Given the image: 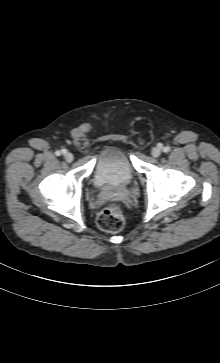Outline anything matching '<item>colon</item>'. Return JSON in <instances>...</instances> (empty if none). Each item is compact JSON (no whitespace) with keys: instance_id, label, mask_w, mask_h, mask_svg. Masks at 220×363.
Listing matches in <instances>:
<instances>
[{"instance_id":"colon-1","label":"colon","mask_w":220,"mask_h":363,"mask_svg":"<svg viewBox=\"0 0 220 363\" xmlns=\"http://www.w3.org/2000/svg\"><path fill=\"white\" fill-rule=\"evenodd\" d=\"M124 216L120 206L111 205L104 208L97 217L98 227L105 232L116 233L124 227Z\"/></svg>"}]
</instances>
